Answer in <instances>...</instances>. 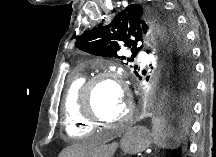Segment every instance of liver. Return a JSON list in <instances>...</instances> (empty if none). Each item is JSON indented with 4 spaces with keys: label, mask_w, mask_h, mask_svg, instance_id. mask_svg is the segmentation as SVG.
Returning <instances> with one entry per match:
<instances>
[{
    "label": "liver",
    "mask_w": 216,
    "mask_h": 157,
    "mask_svg": "<svg viewBox=\"0 0 216 157\" xmlns=\"http://www.w3.org/2000/svg\"><path fill=\"white\" fill-rule=\"evenodd\" d=\"M107 155H109L108 146H96L93 143L83 142L67 147L59 157H106Z\"/></svg>",
    "instance_id": "obj_1"
}]
</instances>
